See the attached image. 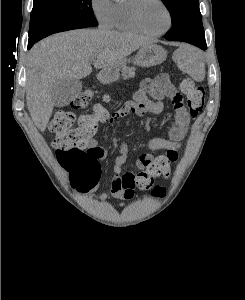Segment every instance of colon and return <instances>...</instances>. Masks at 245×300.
I'll return each instance as SVG.
<instances>
[{
	"mask_svg": "<svg viewBox=\"0 0 245 300\" xmlns=\"http://www.w3.org/2000/svg\"><path fill=\"white\" fill-rule=\"evenodd\" d=\"M182 92L187 96L190 115L197 117L204 108V90L196 86L189 78L180 82ZM93 97L89 88L83 89L71 101L73 108L85 107ZM108 118V112L102 105H96L94 112L78 119L75 124V114L69 110L58 111L51 121L50 129L55 134L52 145L56 151L59 163L70 173L72 182L81 190L93 188L100 176L99 152L90 148V142L97 133L101 122ZM136 188L149 190L153 188V177L147 173H139L135 179ZM154 196L164 195V189L153 188Z\"/></svg>",
	"mask_w": 245,
	"mask_h": 300,
	"instance_id": "1",
	"label": "colon"
}]
</instances>
